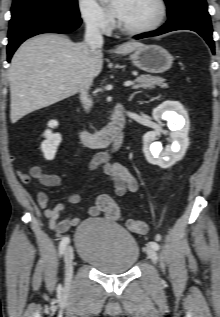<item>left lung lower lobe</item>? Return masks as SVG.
Segmentation results:
<instances>
[{
  "mask_svg": "<svg viewBox=\"0 0 220 317\" xmlns=\"http://www.w3.org/2000/svg\"><path fill=\"white\" fill-rule=\"evenodd\" d=\"M168 18L167 23L158 30L134 38L157 36L170 31L186 29L200 34L206 40L212 52L215 53L210 15L205 0H186L175 13L169 14Z\"/></svg>",
  "mask_w": 220,
  "mask_h": 317,
  "instance_id": "left-lung-lower-lobe-1",
  "label": "left lung lower lobe"
}]
</instances>
